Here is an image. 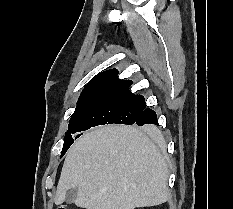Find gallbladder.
<instances>
[{
  "mask_svg": "<svg viewBox=\"0 0 233 209\" xmlns=\"http://www.w3.org/2000/svg\"><path fill=\"white\" fill-rule=\"evenodd\" d=\"M76 195H77V190L76 188H72L70 190L67 191V194H66V199L65 201L68 203V204H72L75 199H76Z\"/></svg>",
  "mask_w": 233,
  "mask_h": 209,
  "instance_id": "obj_1",
  "label": "gallbladder"
}]
</instances>
